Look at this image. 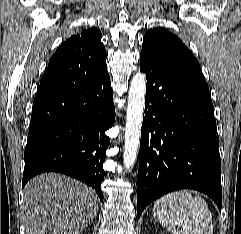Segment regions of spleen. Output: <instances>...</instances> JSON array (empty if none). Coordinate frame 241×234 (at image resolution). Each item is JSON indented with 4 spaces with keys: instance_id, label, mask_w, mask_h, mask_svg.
Wrapping results in <instances>:
<instances>
[{
    "instance_id": "obj_1",
    "label": "spleen",
    "mask_w": 241,
    "mask_h": 234,
    "mask_svg": "<svg viewBox=\"0 0 241 234\" xmlns=\"http://www.w3.org/2000/svg\"><path fill=\"white\" fill-rule=\"evenodd\" d=\"M153 214L173 234H213L212 215L206 201L200 196L193 197L189 190L164 195L155 201Z\"/></svg>"
}]
</instances>
